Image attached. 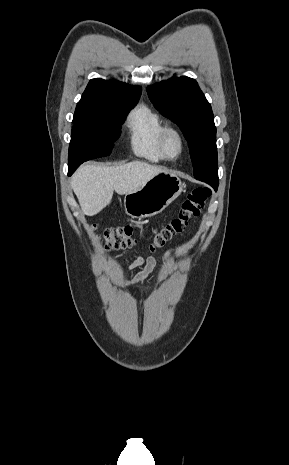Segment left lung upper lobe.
Listing matches in <instances>:
<instances>
[{
  "label": "left lung upper lobe",
  "instance_id": "left-lung-upper-lobe-1",
  "mask_svg": "<svg viewBox=\"0 0 289 465\" xmlns=\"http://www.w3.org/2000/svg\"><path fill=\"white\" fill-rule=\"evenodd\" d=\"M147 91L154 106L180 127L188 141L194 177L216 189V127L211 105L197 82L183 76L148 86Z\"/></svg>",
  "mask_w": 289,
  "mask_h": 465
}]
</instances>
